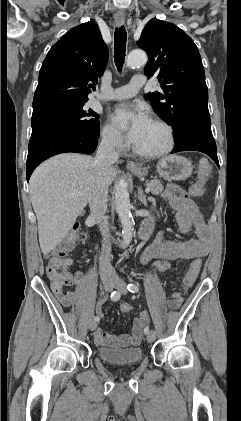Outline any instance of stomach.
Listing matches in <instances>:
<instances>
[{"label":"stomach","instance_id":"obj_1","mask_svg":"<svg viewBox=\"0 0 241 421\" xmlns=\"http://www.w3.org/2000/svg\"><path fill=\"white\" fill-rule=\"evenodd\" d=\"M146 167L139 166L133 169L132 172L138 176L143 177L147 174ZM156 170L160 177L167 180H185L192 174V163L182 156L169 155L161 158L156 164Z\"/></svg>","mask_w":241,"mask_h":421}]
</instances>
